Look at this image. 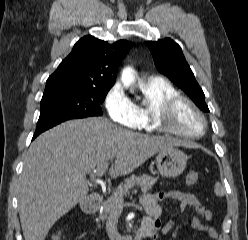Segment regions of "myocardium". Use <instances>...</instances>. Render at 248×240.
<instances>
[{"label":"myocardium","mask_w":248,"mask_h":240,"mask_svg":"<svg viewBox=\"0 0 248 240\" xmlns=\"http://www.w3.org/2000/svg\"><path fill=\"white\" fill-rule=\"evenodd\" d=\"M182 103L189 105L202 119L204 127L200 133H186L173 126V116L175 110ZM153 123L157 127V129L162 132L188 139H197L199 137H202L208 129V120L201 109L197 106V104L190 98L179 93L164 99L158 105L153 115Z\"/></svg>","instance_id":"f54148a6"}]
</instances>
